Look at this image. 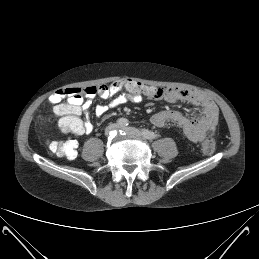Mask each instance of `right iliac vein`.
<instances>
[{"label":"right iliac vein","instance_id":"right-iliac-vein-1","mask_svg":"<svg viewBox=\"0 0 259 259\" xmlns=\"http://www.w3.org/2000/svg\"><path fill=\"white\" fill-rule=\"evenodd\" d=\"M118 128V125L116 124H110L108 127H106L105 129V135L108 136L112 133V131H114L115 129Z\"/></svg>","mask_w":259,"mask_h":259}]
</instances>
